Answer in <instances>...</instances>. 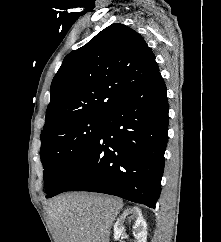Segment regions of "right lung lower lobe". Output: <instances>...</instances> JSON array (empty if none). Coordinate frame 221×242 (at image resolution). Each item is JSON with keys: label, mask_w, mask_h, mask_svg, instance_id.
<instances>
[{"label": "right lung lower lobe", "mask_w": 221, "mask_h": 242, "mask_svg": "<svg viewBox=\"0 0 221 242\" xmlns=\"http://www.w3.org/2000/svg\"><path fill=\"white\" fill-rule=\"evenodd\" d=\"M168 110L166 86L158 73L103 116L98 133L69 164L50 197L91 191L155 208L168 140Z\"/></svg>", "instance_id": "obj_1"}]
</instances>
